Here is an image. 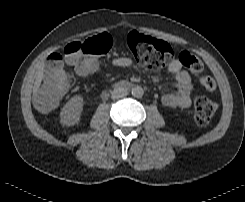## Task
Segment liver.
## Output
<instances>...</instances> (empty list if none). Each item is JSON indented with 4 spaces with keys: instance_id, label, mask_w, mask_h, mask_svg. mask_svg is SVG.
I'll return each instance as SVG.
<instances>
[{
    "instance_id": "liver-1",
    "label": "liver",
    "mask_w": 245,
    "mask_h": 202,
    "mask_svg": "<svg viewBox=\"0 0 245 202\" xmlns=\"http://www.w3.org/2000/svg\"><path fill=\"white\" fill-rule=\"evenodd\" d=\"M43 65L40 66L39 68V72H38V76H37V79H36V82H35V89L37 90L41 84V81H42V77H43Z\"/></svg>"
}]
</instances>
